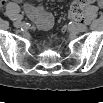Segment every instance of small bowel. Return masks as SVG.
<instances>
[{
  "label": "small bowel",
  "mask_w": 103,
  "mask_h": 103,
  "mask_svg": "<svg viewBox=\"0 0 103 103\" xmlns=\"http://www.w3.org/2000/svg\"><path fill=\"white\" fill-rule=\"evenodd\" d=\"M23 9L27 16L35 22L38 29L46 30L53 25V16L43 9L30 3L24 4Z\"/></svg>",
  "instance_id": "small-bowel-1"
}]
</instances>
